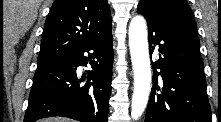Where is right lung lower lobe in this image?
Wrapping results in <instances>:
<instances>
[{"instance_id": "98d812e1", "label": "right lung lower lobe", "mask_w": 221, "mask_h": 122, "mask_svg": "<svg viewBox=\"0 0 221 122\" xmlns=\"http://www.w3.org/2000/svg\"><path fill=\"white\" fill-rule=\"evenodd\" d=\"M112 32L79 50L37 68L24 122L49 116H65L82 122H108L111 95L113 47ZM91 51L88 56L85 52ZM88 61V81L76 76L79 65ZM93 80V82H90Z\"/></svg>"}]
</instances>
